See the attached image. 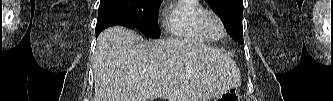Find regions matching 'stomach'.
Listing matches in <instances>:
<instances>
[{
    "instance_id": "stomach-1",
    "label": "stomach",
    "mask_w": 333,
    "mask_h": 101,
    "mask_svg": "<svg viewBox=\"0 0 333 101\" xmlns=\"http://www.w3.org/2000/svg\"><path fill=\"white\" fill-rule=\"evenodd\" d=\"M214 101H241V96L236 88H230L216 97Z\"/></svg>"
}]
</instances>
